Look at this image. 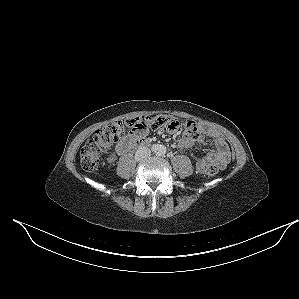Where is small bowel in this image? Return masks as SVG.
Listing matches in <instances>:
<instances>
[{
	"mask_svg": "<svg viewBox=\"0 0 299 299\" xmlns=\"http://www.w3.org/2000/svg\"><path fill=\"white\" fill-rule=\"evenodd\" d=\"M201 132L207 134L209 137L214 139L215 151L209 152L205 156L198 158L196 160V168L199 172H204L206 167L210 165H215L219 169H223L230 161L231 152L228 143L226 140L215 130H205L201 129ZM146 132L135 133L127 136L125 139L120 141L116 147L115 151L118 154L125 153L130 149L133 143L142 137ZM203 136L202 133H198L196 137H183L178 142V148L182 150L190 149L195 142H202ZM114 161V156L109 157V162Z\"/></svg>",
	"mask_w": 299,
	"mask_h": 299,
	"instance_id": "obj_1",
	"label": "small bowel"
}]
</instances>
